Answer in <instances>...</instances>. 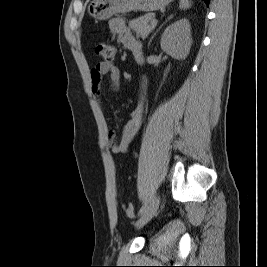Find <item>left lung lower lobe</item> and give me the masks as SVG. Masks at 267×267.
<instances>
[{
  "instance_id": "1",
  "label": "left lung lower lobe",
  "mask_w": 267,
  "mask_h": 267,
  "mask_svg": "<svg viewBox=\"0 0 267 267\" xmlns=\"http://www.w3.org/2000/svg\"><path fill=\"white\" fill-rule=\"evenodd\" d=\"M203 1L206 3V5H209L210 0H203Z\"/></svg>"
}]
</instances>
